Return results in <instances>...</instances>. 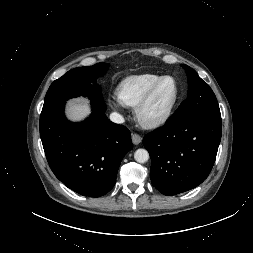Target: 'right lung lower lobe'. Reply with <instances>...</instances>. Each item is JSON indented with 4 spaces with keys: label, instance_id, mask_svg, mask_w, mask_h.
I'll return each mask as SVG.
<instances>
[{
    "label": "right lung lower lobe",
    "instance_id": "1",
    "mask_svg": "<svg viewBox=\"0 0 253 253\" xmlns=\"http://www.w3.org/2000/svg\"><path fill=\"white\" fill-rule=\"evenodd\" d=\"M64 105L41 113L40 136L55 176L74 192L100 197L115 185L119 165L133 147L130 131L107 119L104 100H92V114L69 122Z\"/></svg>",
    "mask_w": 253,
    "mask_h": 253
}]
</instances>
